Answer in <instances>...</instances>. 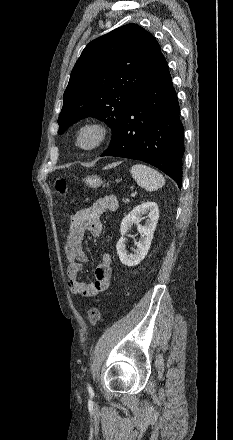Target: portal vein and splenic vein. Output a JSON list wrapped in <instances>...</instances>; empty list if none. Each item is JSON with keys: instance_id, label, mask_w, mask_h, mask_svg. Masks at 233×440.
<instances>
[{"instance_id": "obj_1", "label": "portal vein and splenic vein", "mask_w": 233, "mask_h": 440, "mask_svg": "<svg viewBox=\"0 0 233 440\" xmlns=\"http://www.w3.org/2000/svg\"><path fill=\"white\" fill-rule=\"evenodd\" d=\"M136 194H137V192H132V193H131V197H135Z\"/></svg>"}]
</instances>
